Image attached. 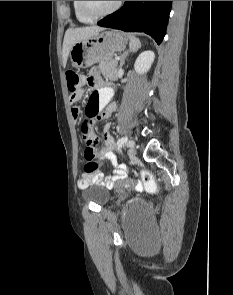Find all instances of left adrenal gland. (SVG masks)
Masks as SVG:
<instances>
[{"mask_svg": "<svg viewBox=\"0 0 233 295\" xmlns=\"http://www.w3.org/2000/svg\"><path fill=\"white\" fill-rule=\"evenodd\" d=\"M131 52V50H126L123 52V54L121 55L120 67H123V65L125 64V59L131 54Z\"/></svg>", "mask_w": 233, "mask_h": 295, "instance_id": "a2214340", "label": "left adrenal gland"}]
</instances>
